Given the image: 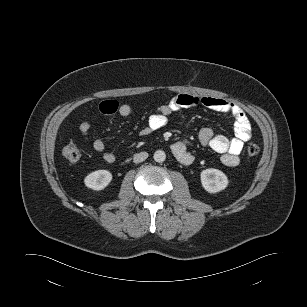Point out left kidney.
<instances>
[{
  "label": "left kidney",
  "instance_id": "obj_1",
  "mask_svg": "<svg viewBox=\"0 0 307 307\" xmlns=\"http://www.w3.org/2000/svg\"><path fill=\"white\" fill-rule=\"evenodd\" d=\"M200 178L202 186L209 193L220 192L228 185L227 176L218 169H205L201 172Z\"/></svg>",
  "mask_w": 307,
  "mask_h": 307
}]
</instances>
